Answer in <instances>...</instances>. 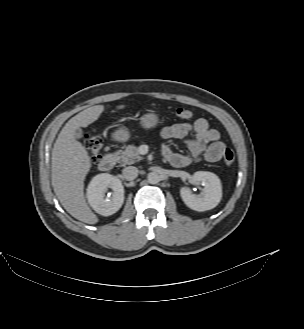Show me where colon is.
Returning <instances> with one entry per match:
<instances>
[{
	"instance_id": "1",
	"label": "colon",
	"mask_w": 304,
	"mask_h": 329,
	"mask_svg": "<svg viewBox=\"0 0 304 329\" xmlns=\"http://www.w3.org/2000/svg\"><path fill=\"white\" fill-rule=\"evenodd\" d=\"M176 116L181 121H187L194 117V113L186 108H178L176 110ZM86 146L90 152L92 162H97L100 158V151L102 148V141L96 134L95 130H90L85 133ZM235 160V154L231 148H225L223 151V161L226 165L233 164Z\"/></svg>"
}]
</instances>
